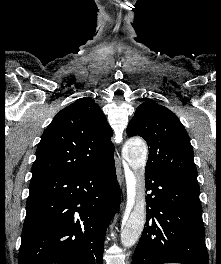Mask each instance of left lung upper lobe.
<instances>
[{
    "instance_id": "1",
    "label": "left lung upper lobe",
    "mask_w": 221,
    "mask_h": 264,
    "mask_svg": "<svg viewBox=\"0 0 221 264\" xmlns=\"http://www.w3.org/2000/svg\"><path fill=\"white\" fill-rule=\"evenodd\" d=\"M129 137H143L149 146L145 171L197 184V169L189 136L174 113L147 100L127 127Z\"/></svg>"
}]
</instances>
